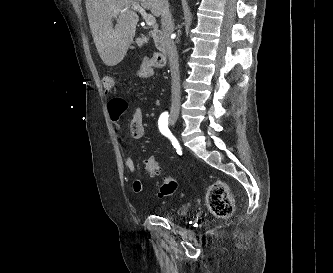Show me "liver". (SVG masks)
<instances>
[{
    "label": "liver",
    "instance_id": "obj_1",
    "mask_svg": "<svg viewBox=\"0 0 333 273\" xmlns=\"http://www.w3.org/2000/svg\"><path fill=\"white\" fill-rule=\"evenodd\" d=\"M132 3H140L154 16H160V0H86L93 40L107 66L121 62L133 41L139 17L130 9ZM116 8L121 11L115 14ZM113 19H116L115 26Z\"/></svg>",
    "mask_w": 333,
    "mask_h": 273
}]
</instances>
